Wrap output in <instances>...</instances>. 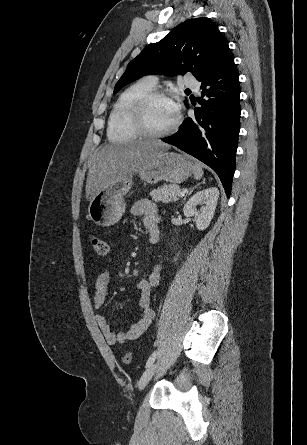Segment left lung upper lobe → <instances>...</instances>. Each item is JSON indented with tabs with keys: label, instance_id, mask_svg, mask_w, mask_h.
I'll return each mask as SVG.
<instances>
[{
	"label": "left lung upper lobe",
	"instance_id": "left-lung-upper-lobe-1",
	"mask_svg": "<svg viewBox=\"0 0 307 445\" xmlns=\"http://www.w3.org/2000/svg\"><path fill=\"white\" fill-rule=\"evenodd\" d=\"M233 57L228 42L206 17L189 19L176 26L161 41L149 45L127 66L114 93L149 74L173 76L191 72L202 81Z\"/></svg>",
	"mask_w": 307,
	"mask_h": 445
}]
</instances>
